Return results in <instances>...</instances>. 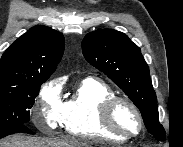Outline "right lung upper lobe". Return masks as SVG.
<instances>
[{
  "label": "right lung upper lobe",
  "instance_id": "cb5924a9",
  "mask_svg": "<svg viewBox=\"0 0 183 147\" xmlns=\"http://www.w3.org/2000/svg\"><path fill=\"white\" fill-rule=\"evenodd\" d=\"M64 51V37L47 27L36 26L18 38L0 60V85L24 84L48 79Z\"/></svg>",
  "mask_w": 183,
  "mask_h": 147
}]
</instances>
